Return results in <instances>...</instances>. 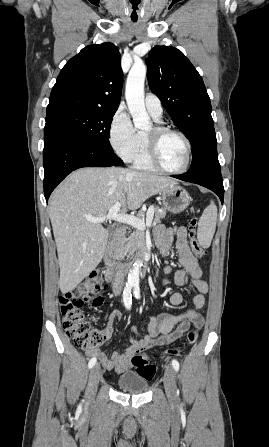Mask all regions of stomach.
<instances>
[{
  "label": "stomach",
  "instance_id": "1",
  "mask_svg": "<svg viewBox=\"0 0 269 447\" xmlns=\"http://www.w3.org/2000/svg\"><path fill=\"white\" fill-rule=\"evenodd\" d=\"M161 196L165 210L173 212V214L184 212L190 202H192L188 192L184 188H180V186H169V188L161 192Z\"/></svg>",
  "mask_w": 269,
  "mask_h": 447
}]
</instances>
